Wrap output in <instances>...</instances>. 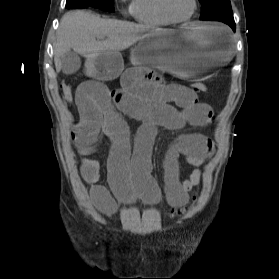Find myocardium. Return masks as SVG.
<instances>
[{"label":"myocardium","instance_id":"myocardium-1","mask_svg":"<svg viewBox=\"0 0 279 279\" xmlns=\"http://www.w3.org/2000/svg\"><path fill=\"white\" fill-rule=\"evenodd\" d=\"M166 3H167L166 0H159V6H160V9H161L163 15L167 19H169L172 23H184V22L191 20L194 17V15L196 14L198 7H199L198 0H193V9H192L191 13L184 18H177L169 12Z\"/></svg>","mask_w":279,"mask_h":279}]
</instances>
